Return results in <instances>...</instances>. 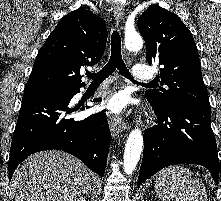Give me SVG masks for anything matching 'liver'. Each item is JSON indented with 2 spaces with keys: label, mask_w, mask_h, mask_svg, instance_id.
Returning <instances> with one entry per match:
<instances>
[{
  "label": "liver",
  "mask_w": 221,
  "mask_h": 201,
  "mask_svg": "<svg viewBox=\"0 0 221 201\" xmlns=\"http://www.w3.org/2000/svg\"><path fill=\"white\" fill-rule=\"evenodd\" d=\"M91 172L76 157L59 150L38 152L15 170V201H72L90 188Z\"/></svg>",
  "instance_id": "6515ba94"
}]
</instances>
